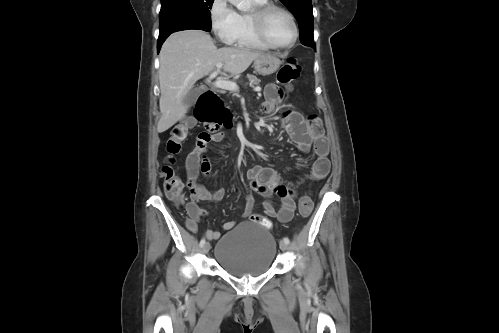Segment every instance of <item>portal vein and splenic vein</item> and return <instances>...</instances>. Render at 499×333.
Here are the masks:
<instances>
[{
  "label": "portal vein and splenic vein",
  "instance_id": "portal-vein-and-splenic-vein-1",
  "mask_svg": "<svg viewBox=\"0 0 499 333\" xmlns=\"http://www.w3.org/2000/svg\"><path fill=\"white\" fill-rule=\"evenodd\" d=\"M222 66H223L222 63L216 64L217 69H216V71L212 72L209 75V77L207 78L208 82H210L213 78H215L218 75ZM213 84L217 88L226 89V90H230V91H238V89H239L238 85L235 82L227 81V80L218 79ZM255 91H261V88L257 87V88H255Z\"/></svg>",
  "mask_w": 499,
  "mask_h": 333
}]
</instances>
